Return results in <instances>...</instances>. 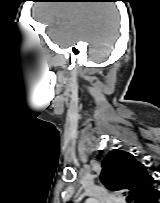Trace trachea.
<instances>
[{"mask_svg": "<svg viewBox=\"0 0 160 203\" xmlns=\"http://www.w3.org/2000/svg\"><path fill=\"white\" fill-rule=\"evenodd\" d=\"M126 199H127V202H128V203H131V201H132L131 196H128Z\"/></svg>", "mask_w": 160, "mask_h": 203, "instance_id": "obj_1", "label": "trachea"}]
</instances>
